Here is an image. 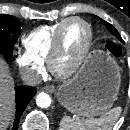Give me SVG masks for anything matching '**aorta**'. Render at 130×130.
I'll use <instances>...</instances> for the list:
<instances>
[{"instance_id": "1", "label": "aorta", "mask_w": 130, "mask_h": 130, "mask_svg": "<svg viewBox=\"0 0 130 130\" xmlns=\"http://www.w3.org/2000/svg\"><path fill=\"white\" fill-rule=\"evenodd\" d=\"M51 97L44 92H41L36 97V104L40 108H48L51 105Z\"/></svg>"}]
</instances>
